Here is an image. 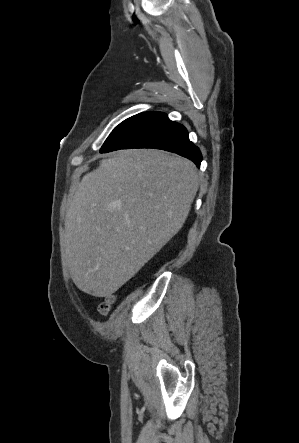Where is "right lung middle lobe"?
<instances>
[{"mask_svg":"<svg viewBox=\"0 0 299 443\" xmlns=\"http://www.w3.org/2000/svg\"><path fill=\"white\" fill-rule=\"evenodd\" d=\"M138 116H139V114L132 116V117L126 119L125 121H123L122 123H120L117 127H115V129L111 132V134L108 136V138L104 142L101 150H104V149L108 148L109 146H111L117 140V138L131 125V123Z\"/></svg>","mask_w":299,"mask_h":443,"instance_id":"dd1d6c3e","label":"right lung middle lobe"}]
</instances>
